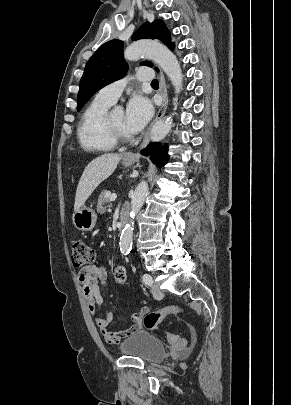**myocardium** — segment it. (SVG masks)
I'll list each match as a JSON object with an SVG mask.
<instances>
[{
	"mask_svg": "<svg viewBox=\"0 0 291 405\" xmlns=\"http://www.w3.org/2000/svg\"><path fill=\"white\" fill-rule=\"evenodd\" d=\"M106 129L109 137L116 145L130 144L134 141L132 136L124 134L112 124L111 115L106 117Z\"/></svg>",
	"mask_w": 291,
	"mask_h": 405,
	"instance_id": "f54148a6",
	"label": "myocardium"
}]
</instances>
